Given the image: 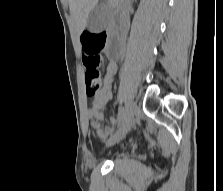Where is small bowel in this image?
<instances>
[{
	"mask_svg": "<svg viewBox=\"0 0 223 191\" xmlns=\"http://www.w3.org/2000/svg\"><path fill=\"white\" fill-rule=\"evenodd\" d=\"M117 71L114 63H109L106 69V75L101 89L92 97L87 116L90 120V126L96 131L101 139H107L115 130V126H120L123 122V116L119 113L117 117H112L109 122L112 126L102 128L101 122L104 119L103 110L107 103L112 99L113 77Z\"/></svg>",
	"mask_w": 223,
	"mask_h": 191,
	"instance_id": "1",
	"label": "small bowel"
}]
</instances>
